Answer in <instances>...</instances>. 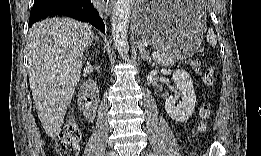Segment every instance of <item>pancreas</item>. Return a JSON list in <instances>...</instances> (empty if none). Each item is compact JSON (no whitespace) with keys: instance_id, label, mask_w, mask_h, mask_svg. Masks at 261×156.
<instances>
[{"instance_id":"obj_1","label":"pancreas","mask_w":261,"mask_h":156,"mask_svg":"<svg viewBox=\"0 0 261 156\" xmlns=\"http://www.w3.org/2000/svg\"><path fill=\"white\" fill-rule=\"evenodd\" d=\"M160 53L159 58L156 59V62L160 65H170L173 64L176 57L171 53H166L161 50H158Z\"/></svg>"}]
</instances>
